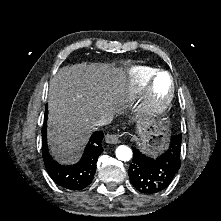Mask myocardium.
Listing matches in <instances>:
<instances>
[{
    "label": "myocardium",
    "instance_id": "obj_1",
    "mask_svg": "<svg viewBox=\"0 0 221 221\" xmlns=\"http://www.w3.org/2000/svg\"><path fill=\"white\" fill-rule=\"evenodd\" d=\"M161 74H166L168 76L170 82V90L165 99L157 101L153 97V88L157 77ZM174 91H175V86L172 75L168 71L164 70L157 72L153 76L151 84L149 86V91L146 94L144 105L141 110V116L146 120H151L163 114L168 109V107L170 106L173 100Z\"/></svg>",
    "mask_w": 221,
    "mask_h": 221
}]
</instances>
